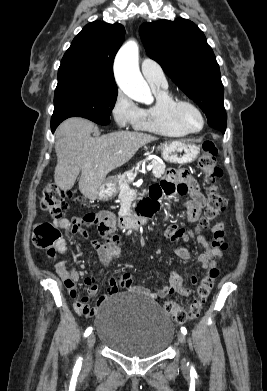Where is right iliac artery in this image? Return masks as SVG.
Listing matches in <instances>:
<instances>
[{
    "instance_id": "right-iliac-artery-1",
    "label": "right iliac artery",
    "mask_w": 267,
    "mask_h": 391,
    "mask_svg": "<svg viewBox=\"0 0 267 391\" xmlns=\"http://www.w3.org/2000/svg\"><path fill=\"white\" fill-rule=\"evenodd\" d=\"M92 332V327H89L87 328V330L85 331V334L84 336L87 337L90 333ZM81 368V360L78 359V361L76 362V365H75V370L79 371Z\"/></svg>"
}]
</instances>
